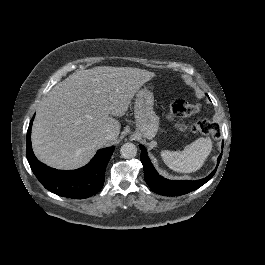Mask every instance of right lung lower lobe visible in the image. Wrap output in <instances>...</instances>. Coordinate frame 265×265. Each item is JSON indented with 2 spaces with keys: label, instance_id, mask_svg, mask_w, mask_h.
<instances>
[{
  "label": "right lung lower lobe",
  "instance_id": "98d812e1",
  "mask_svg": "<svg viewBox=\"0 0 265 265\" xmlns=\"http://www.w3.org/2000/svg\"><path fill=\"white\" fill-rule=\"evenodd\" d=\"M30 122L27 131L26 155L30 167L40 183L50 192L73 199H85L96 194L104 184L105 169L114 147L101 149L86 166L71 171L56 170L41 163L31 146Z\"/></svg>",
  "mask_w": 265,
  "mask_h": 265
}]
</instances>
